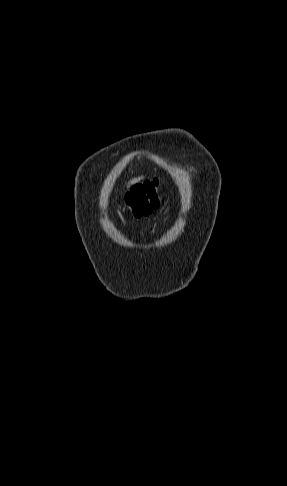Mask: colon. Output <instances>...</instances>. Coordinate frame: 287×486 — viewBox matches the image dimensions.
Here are the masks:
<instances>
[{
	"instance_id": "5ec220e1",
	"label": "colon",
	"mask_w": 287,
	"mask_h": 486,
	"mask_svg": "<svg viewBox=\"0 0 287 486\" xmlns=\"http://www.w3.org/2000/svg\"><path fill=\"white\" fill-rule=\"evenodd\" d=\"M161 202L158 179L147 180L132 186L125 196L128 209L137 218L149 215L160 206Z\"/></svg>"
}]
</instances>
